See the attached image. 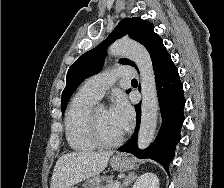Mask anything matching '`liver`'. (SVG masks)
Returning a JSON list of instances; mask_svg holds the SVG:
<instances>
[{
    "instance_id": "6515ba94",
    "label": "liver",
    "mask_w": 224,
    "mask_h": 188,
    "mask_svg": "<svg viewBox=\"0 0 224 188\" xmlns=\"http://www.w3.org/2000/svg\"><path fill=\"white\" fill-rule=\"evenodd\" d=\"M112 151H82L62 155L56 162L50 188H70L71 186L102 172Z\"/></svg>"
}]
</instances>
